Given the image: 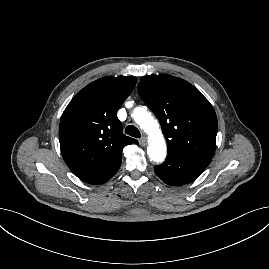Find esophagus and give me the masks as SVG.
Wrapping results in <instances>:
<instances>
[{"label":"esophagus","instance_id":"obj_1","mask_svg":"<svg viewBox=\"0 0 269 269\" xmlns=\"http://www.w3.org/2000/svg\"><path fill=\"white\" fill-rule=\"evenodd\" d=\"M139 143H140L141 146H145L147 144V137L146 136H142L139 139Z\"/></svg>","mask_w":269,"mask_h":269}]
</instances>
